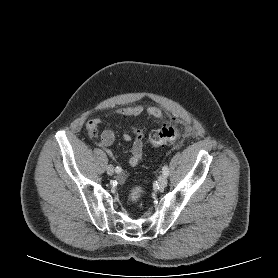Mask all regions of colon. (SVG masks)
Returning a JSON list of instances; mask_svg holds the SVG:
<instances>
[{"label": "colon", "instance_id": "1", "mask_svg": "<svg viewBox=\"0 0 278 278\" xmlns=\"http://www.w3.org/2000/svg\"><path fill=\"white\" fill-rule=\"evenodd\" d=\"M90 134L96 137L98 134L97 127L90 129ZM179 137V129L174 125H164L161 128L155 129L149 134V143L154 147L163 146L174 142ZM143 190L141 187L133 188L130 192L132 202H137L142 196Z\"/></svg>", "mask_w": 278, "mask_h": 278}]
</instances>
